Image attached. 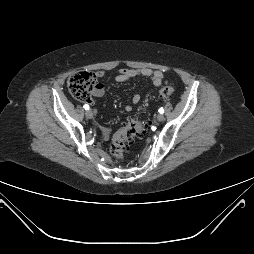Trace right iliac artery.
I'll return each mask as SVG.
<instances>
[{
  "label": "right iliac artery",
  "mask_w": 254,
  "mask_h": 254,
  "mask_svg": "<svg viewBox=\"0 0 254 254\" xmlns=\"http://www.w3.org/2000/svg\"><path fill=\"white\" fill-rule=\"evenodd\" d=\"M83 108H84L85 110H89V105L85 104V105L83 106Z\"/></svg>",
  "instance_id": "obj_1"
}]
</instances>
